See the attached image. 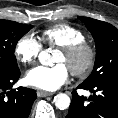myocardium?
I'll list each match as a JSON object with an SVG mask.
<instances>
[{"instance_id":"f54148a6","label":"myocardium","mask_w":118,"mask_h":118,"mask_svg":"<svg viewBox=\"0 0 118 118\" xmlns=\"http://www.w3.org/2000/svg\"><path fill=\"white\" fill-rule=\"evenodd\" d=\"M59 49L62 53L70 58H74L79 55L85 56V61L81 66L70 69V73L73 76L85 77L93 69L97 58V52L93 44L90 42L81 40L61 46Z\"/></svg>"}]
</instances>
